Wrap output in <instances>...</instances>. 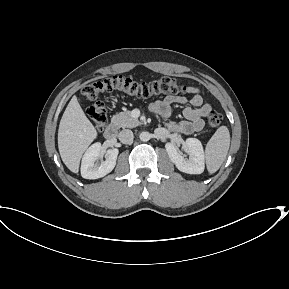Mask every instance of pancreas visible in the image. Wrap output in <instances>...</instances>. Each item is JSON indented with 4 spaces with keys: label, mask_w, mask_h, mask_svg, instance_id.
I'll return each instance as SVG.
<instances>
[{
    "label": "pancreas",
    "mask_w": 289,
    "mask_h": 289,
    "mask_svg": "<svg viewBox=\"0 0 289 289\" xmlns=\"http://www.w3.org/2000/svg\"><path fill=\"white\" fill-rule=\"evenodd\" d=\"M112 123L117 128H134L141 124L138 119L133 118L131 116L130 111H124V112L115 114L112 117Z\"/></svg>",
    "instance_id": "obj_1"
}]
</instances>
